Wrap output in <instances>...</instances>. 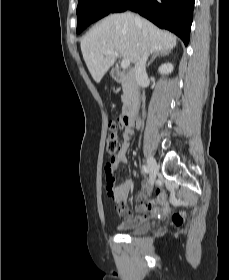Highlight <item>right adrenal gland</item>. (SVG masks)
<instances>
[{
  "instance_id": "obj_1",
  "label": "right adrenal gland",
  "mask_w": 229,
  "mask_h": 280,
  "mask_svg": "<svg viewBox=\"0 0 229 280\" xmlns=\"http://www.w3.org/2000/svg\"><path fill=\"white\" fill-rule=\"evenodd\" d=\"M169 54V51H158L156 52L152 59L150 60V62L148 63V67L153 63V61L157 58V57H162V56H165V55H168Z\"/></svg>"
}]
</instances>
